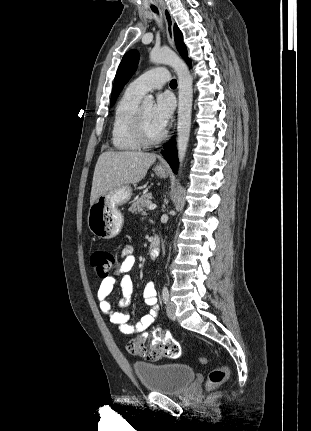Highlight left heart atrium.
<instances>
[{
	"instance_id": "left-heart-atrium-1",
	"label": "left heart atrium",
	"mask_w": 311,
	"mask_h": 431,
	"mask_svg": "<svg viewBox=\"0 0 311 431\" xmlns=\"http://www.w3.org/2000/svg\"><path fill=\"white\" fill-rule=\"evenodd\" d=\"M175 110V99L170 93L158 95L153 107L152 116L154 123L164 131Z\"/></svg>"
}]
</instances>
